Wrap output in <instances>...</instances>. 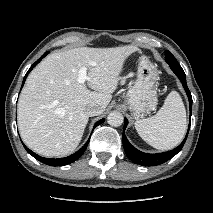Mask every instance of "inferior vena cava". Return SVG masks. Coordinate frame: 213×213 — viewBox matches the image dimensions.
I'll use <instances>...</instances> for the list:
<instances>
[{"label":"inferior vena cava","instance_id":"1","mask_svg":"<svg viewBox=\"0 0 213 213\" xmlns=\"http://www.w3.org/2000/svg\"><path fill=\"white\" fill-rule=\"evenodd\" d=\"M102 112H103L102 107H100L99 105L95 103L89 104L86 108V113L90 117L100 115Z\"/></svg>","mask_w":213,"mask_h":213}]
</instances>
